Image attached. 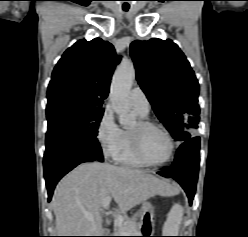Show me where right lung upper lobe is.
<instances>
[{
    "label": "right lung upper lobe",
    "instance_id": "cb5924a9",
    "mask_svg": "<svg viewBox=\"0 0 248 237\" xmlns=\"http://www.w3.org/2000/svg\"><path fill=\"white\" fill-rule=\"evenodd\" d=\"M119 61L107 41L100 38L77 41L64 52L53 70L47 89L48 102L73 98L103 104Z\"/></svg>",
    "mask_w": 248,
    "mask_h": 237
}]
</instances>
